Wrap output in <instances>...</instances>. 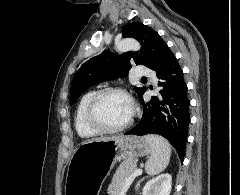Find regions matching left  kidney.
Wrapping results in <instances>:
<instances>
[{
  "mask_svg": "<svg viewBox=\"0 0 240 195\" xmlns=\"http://www.w3.org/2000/svg\"><path fill=\"white\" fill-rule=\"evenodd\" d=\"M171 189L172 177L170 173H161L145 183L142 195H170Z\"/></svg>",
  "mask_w": 240,
  "mask_h": 195,
  "instance_id": "5707ae66",
  "label": "left kidney"
}]
</instances>
